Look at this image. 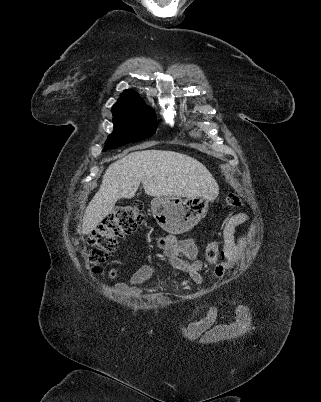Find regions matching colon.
<instances>
[{
	"instance_id": "5ec220e1",
	"label": "colon",
	"mask_w": 321,
	"mask_h": 402,
	"mask_svg": "<svg viewBox=\"0 0 321 402\" xmlns=\"http://www.w3.org/2000/svg\"><path fill=\"white\" fill-rule=\"evenodd\" d=\"M242 205L241 198L230 193L224 201V207L236 208ZM144 222V215L140 204H128L117 207L112 214L103 219L88 238V258L94 269L104 264L109 255L118 245V239L132 234ZM206 260L209 265H215L220 256L217 242H210L206 247Z\"/></svg>"
}]
</instances>
